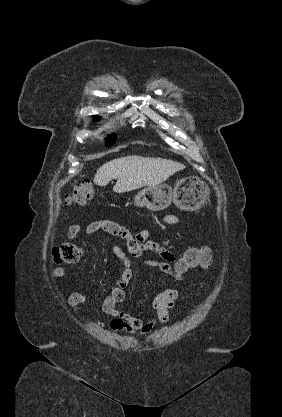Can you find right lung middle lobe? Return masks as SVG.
<instances>
[{"mask_svg":"<svg viewBox=\"0 0 282 417\" xmlns=\"http://www.w3.org/2000/svg\"><path fill=\"white\" fill-rule=\"evenodd\" d=\"M116 140V135H112L111 137L108 138L106 145L111 146L112 144H114Z\"/></svg>","mask_w":282,"mask_h":417,"instance_id":"right-lung-middle-lobe-1","label":"right lung middle lobe"}]
</instances>
